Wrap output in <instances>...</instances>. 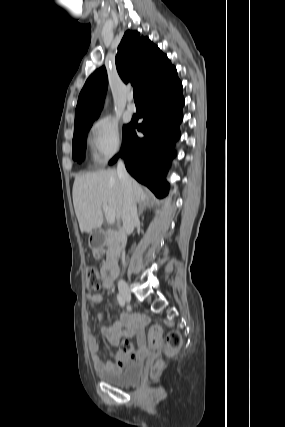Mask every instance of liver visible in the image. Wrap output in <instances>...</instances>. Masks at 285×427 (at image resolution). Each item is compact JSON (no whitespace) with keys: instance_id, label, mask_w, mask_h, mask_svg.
<instances>
[{"instance_id":"1","label":"liver","mask_w":285,"mask_h":427,"mask_svg":"<svg viewBox=\"0 0 285 427\" xmlns=\"http://www.w3.org/2000/svg\"><path fill=\"white\" fill-rule=\"evenodd\" d=\"M135 202L148 198L142 187L131 179ZM73 205L81 232H92L103 223L102 205L114 210L117 220L122 219L124 197L122 187L113 169L88 172L75 178L72 190Z\"/></svg>"}]
</instances>
